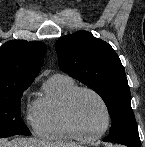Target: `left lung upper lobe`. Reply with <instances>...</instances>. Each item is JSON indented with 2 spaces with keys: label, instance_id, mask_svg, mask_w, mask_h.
Masks as SVG:
<instances>
[{
  "label": "left lung upper lobe",
  "instance_id": "left-lung-upper-lobe-1",
  "mask_svg": "<svg viewBox=\"0 0 145 147\" xmlns=\"http://www.w3.org/2000/svg\"><path fill=\"white\" fill-rule=\"evenodd\" d=\"M55 49L60 69L93 89L105 102L112 120L105 141L140 147L128 81L112 47L87 31H78L58 39Z\"/></svg>",
  "mask_w": 145,
  "mask_h": 147
}]
</instances>
